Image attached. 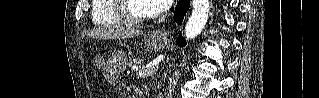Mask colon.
I'll use <instances>...</instances> for the list:
<instances>
[{"mask_svg":"<svg viewBox=\"0 0 319 98\" xmlns=\"http://www.w3.org/2000/svg\"><path fill=\"white\" fill-rule=\"evenodd\" d=\"M92 59L97 67L103 66V63H104L103 57L99 52L97 51L92 52Z\"/></svg>","mask_w":319,"mask_h":98,"instance_id":"colon-1","label":"colon"}]
</instances>
